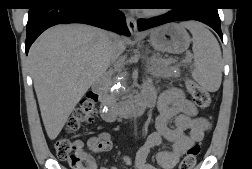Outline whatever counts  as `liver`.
I'll list each match as a JSON object with an SVG mask.
<instances>
[{
	"label": "liver",
	"instance_id": "liver-1",
	"mask_svg": "<svg viewBox=\"0 0 252 169\" xmlns=\"http://www.w3.org/2000/svg\"><path fill=\"white\" fill-rule=\"evenodd\" d=\"M112 33L84 24L56 25L33 43L28 60L48 137L57 138L71 112L110 66ZM122 49L125 40L120 39Z\"/></svg>",
	"mask_w": 252,
	"mask_h": 169
}]
</instances>
